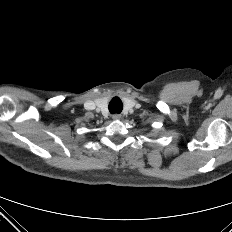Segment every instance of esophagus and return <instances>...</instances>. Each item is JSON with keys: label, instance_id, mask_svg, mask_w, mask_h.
Instances as JSON below:
<instances>
[{"label": "esophagus", "instance_id": "esophagus-1", "mask_svg": "<svg viewBox=\"0 0 232 232\" xmlns=\"http://www.w3.org/2000/svg\"><path fill=\"white\" fill-rule=\"evenodd\" d=\"M112 118L114 120H120L121 119V115L120 114H114V115H112Z\"/></svg>", "mask_w": 232, "mask_h": 232}]
</instances>
